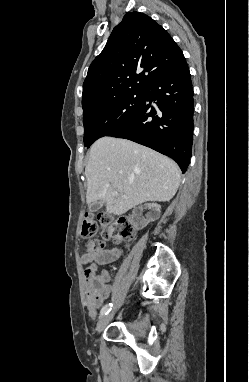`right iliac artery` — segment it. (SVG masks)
<instances>
[{
    "label": "right iliac artery",
    "instance_id": "1",
    "mask_svg": "<svg viewBox=\"0 0 249 382\" xmlns=\"http://www.w3.org/2000/svg\"><path fill=\"white\" fill-rule=\"evenodd\" d=\"M112 307H113L112 303H109L103 306V308L100 311V316L107 315L111 311Z\"/></svg>",
    "mask_w": 249,
    "mask_h": 382
}]
</instances>
